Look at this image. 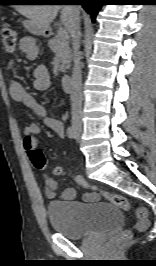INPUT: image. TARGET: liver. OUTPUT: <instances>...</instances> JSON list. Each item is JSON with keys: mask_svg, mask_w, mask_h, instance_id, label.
Masks as SVG:
<instances>
[{"mask_svg": "<svg viewBox=\"0 0 156 266\" xmlns=\"http://www.w3.org/2000/svg\"><path fill=\"white\" fill-rule=\"evenodd\" d=\"M17 10L35 25L47 29L61 10V22L69 31L72 23L71 5H21Z\"/></svg>", "mask_w": 156, "mask_h": 266, "instance_id": "liver-1", "label": "liver"}]
</instances>
